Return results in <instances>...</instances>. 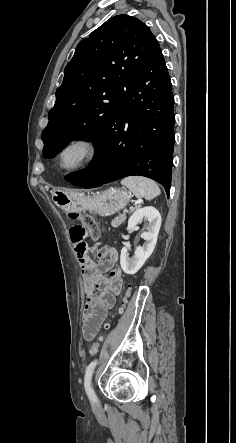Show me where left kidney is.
<instances>
[{"label":"left kidney","mask_w":236,"mask_h":443,"mask_svg":"<svg viewBox=\"0 0 236 443\" xmlns=\"http://www.w3.org/2000/svg\"><path fill=\"white\" fill-rule=\"evenodd\" d=\"M148 221L147 231L141 234V238L145 240L142 246H138L135 250L133 258L129 257L128 244L125 243L120 254V265L122 270L129 275H133L144 265L145 261L152 254L157 236L161 227V215L159 211L152 207L138 208L128 220V231L131 232L141 221Z\"/></svg>","instance_id":"obj_1"}]
</instances>
